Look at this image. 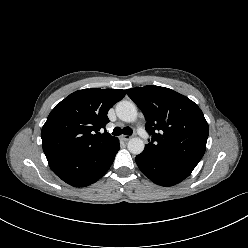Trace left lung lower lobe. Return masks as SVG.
Instances as JSON below:
<instances>
[{
	"mask_svg": "<svg viewBox=\"0 0 248 248\" xmlns=\"http://www.w3.org/2000/svg\"><path fill=\"white\" fill-rule=\"evenodd\" d=\"M140 170L154 183L172 186L187 178L195 166L171 161L143 151L136 156Z\"/></svg>",
	"mask_w": 248,
	"mask_h": 248,
	"instance_id": "1",
	"label": "left lung lower lobe"
}]
</instances>
